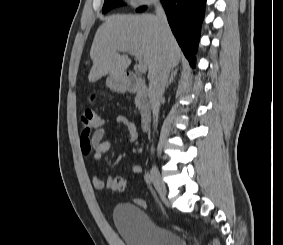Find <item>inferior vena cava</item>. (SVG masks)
<instances>
[{"instance_id":"602c4592","label":"inferior vena cava","mask_w":283,"mask_h":245,"mask_svg":"<svg viewBox=\"0 0 283 245\" xmlns=\"http://www.w3.org/2000/svg\"><path fill=\"white\" fill-rule=\"evenodd\" d=\"M154 5L156 9V17L158 18L162 33L163 35H166L167 33L171 32L167 22L166 14L158 0L154 1ZM170 69L171 67L169 62L166 59H164L160 63V65L158 66V68L156 69V71L154 72L153 76L150 79L148 96L150 99L151 108L153 112L154 127H157L160 101L164 93V89L167 83Z\"/></svg>"}]
</instances>
